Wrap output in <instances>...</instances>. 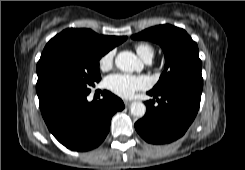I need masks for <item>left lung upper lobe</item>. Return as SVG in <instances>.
Returning a JSON list of instances; mask_svg holds the SVG:
<instances>
[{"label":"left lung upper lobe","mask_w":245,"mask_h":170,"mask_svg":"<svg viewBox=\"0 0 245 170\" xmlns=\"http://www.w3.org/2000/svg\"><path fill=\"white\" fill-rule=\"evenodd\" d=\"M131 37L154 41L164 51V72L150 92L158 93L180 85L202 90V62L198 47L185 30L166 24L146 29Z\"/></svg>","instance_id":"obj_1"}]
</instances>
